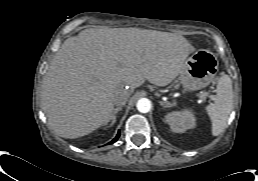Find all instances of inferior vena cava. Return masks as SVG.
Wrapping results in <instances>:
<instances>
[{
    "instance_id": "inferior-vena-cava-1",
    "label": "inferior vena cava",
    "mask_w": 258,
    "mask_h": 181,
    "mask_svg": "<svg viewBox=\"0 0 258 181\" xmlns=\"http://www.w3.org/2000/svg\"><path fill=\"white\" fill-rule=\"evenodd\" d=\"M129 96H130V94L128 92H125L123 95L117 97L116 102H115L116 105H118V106L125 105Z\"/></svg>"
}]
</instances>
